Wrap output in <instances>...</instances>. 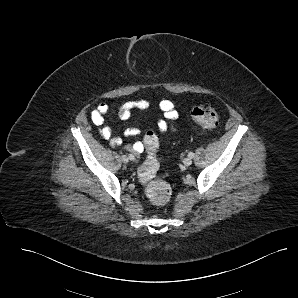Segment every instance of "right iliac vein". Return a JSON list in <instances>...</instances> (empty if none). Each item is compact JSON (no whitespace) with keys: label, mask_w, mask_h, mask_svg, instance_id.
I'll return each mask as SVG.
<instances>
[{"label":"right iliac vein","mask_w":298,"mask_h":298,"mask_svg":"<svg viewBox=\"0 0 298 298\" xmlns=\"http://www.w3.org/2000/svg\"><path fill=\"white\" fill-rule=\"evenodd\" d=\"M121 160L124 162V163H128L129 162V158L126 156V155H123L121 157Z\"/></svg>","instance_id":"1"}]
</instances>
